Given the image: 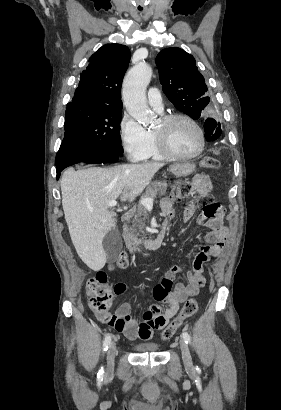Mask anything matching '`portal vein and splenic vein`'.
<instances>
[{"instance_id": "obj_1", "label": "portal vein and splenic vein", "mask_w": 281, "mask_h": 410, "mask_svg": "<svg viewBox=\"0 0 281 410\" xmlns=\"http://www.w3.org/2000/svg\"><path fill=\"white\" fill-rule=\"evenodd\" d=\"M153 201H154V198H142L140 200V204H142L143 206H145L147 208H150V207L153 206ZM116 204H117L116 200H112L108 203V205L110 207H114V206H116Z\"/></svg>"}]
</instances>
